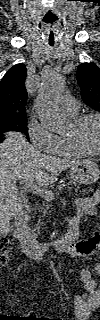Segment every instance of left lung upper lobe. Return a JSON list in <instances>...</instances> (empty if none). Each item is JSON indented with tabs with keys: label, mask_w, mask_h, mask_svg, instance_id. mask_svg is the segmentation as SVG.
Segmentation results:
<instances>
[{
	"label": "left lung upper lobe",
	"mask_w": 100,
	"mask_h": 320,
	"mask_svg": "<svg viewBox=\"0 0 100 320\" xmlns=\"http://www.w3.org/2000/svg\"><path fill=\"white\" fill-rule=\"evenodd\" d=\"M76 78L83 101L100 111V68L92 62L82 63L77 68Z\"/></svg>",
	"instance_id": "1"
}]
</instances>
